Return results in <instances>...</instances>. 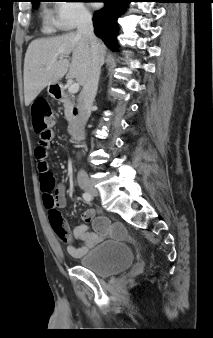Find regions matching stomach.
<instances>
[{"instance_id":"1","label":"stomach","mask_w":213,"mask_h":338,"mask_svg":"<svg viewBox=\"0 0 213 338\" xmlns=\"http://www.w3.org/2000/svg\"><path fill=\"white\" fill-rule=\"evenodd\" d=\"M58 88H59V85H58L57 83H56V84L49 85V86H48V92H49V94L53 96L55 90L58 89Z\"/></svg>"}]
</instances>
